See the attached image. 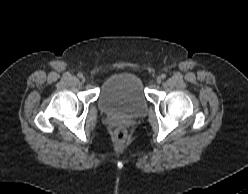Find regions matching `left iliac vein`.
Masks as SVG:
<instances>
[{"label":"left iliac vein","instance_id":"obj_1","mask_svg":"<svg viewBox=\"0 0 248 194\" xmlns=\"http://www.w3.org/2000/svg\"><path fill=\"white\" fill-rule=\"evenodd\" d=\"M161 81H162L161 77H157L156 82H157L158 84H160Z\"/></svg>","mask_w":248,"mask_h":194}]
</instances>
